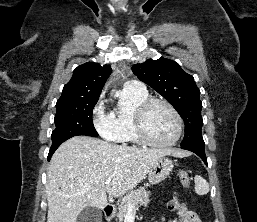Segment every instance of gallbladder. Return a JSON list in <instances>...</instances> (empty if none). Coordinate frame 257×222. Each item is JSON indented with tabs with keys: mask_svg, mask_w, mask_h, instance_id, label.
I'll list each match as a JSON object with an SVG mask.
<instances>
[{
	"mask_svg": "<svg viewBox=\"0 0 257 222\" xmlns=\"http://www.w3.org/2000/svg\"><path fill=\"white\" fill-rule=\"evenodd\" d=\"M102 216L100 209L87 206L78 215L77 222H102Z\"/></svg>",
	"mask_w": 257,
	"mask_h": 222,
	"instance_id": "gallbladder-1",
	"label": "gallbladder"
}]
</instances>
